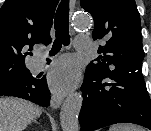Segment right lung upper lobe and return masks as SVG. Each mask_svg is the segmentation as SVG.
<instances>
[{"label":"right lung upper lobe","mask_w":151,"mask_h":131,"mask_svg":"<svg viewBox=\"0 0 151 131\" xmlns=\"http://www.w3.org/2000/svg\"><path fill=\"white\" fill-rule=\"evenodd\" d=\"M58 0H6L0 9V80L28 73L25 58L36 43L51 42ZM30 73V72H29Z\"/></svg>","instance_id":"right-lung-upper-lobe-1"}]
</instances>
